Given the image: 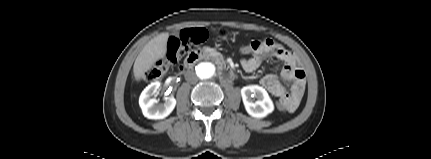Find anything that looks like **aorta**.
Returning <instances> with one entry per match:
<instances>
[{
    "label": "aorta",
    "mask_w": 431,
    "mask_h": 159,
    "mask_svg": "<svg viewBox=\"0 0 431 159\" xmlns=\"http://www.w3.org/2000/svg\"><path fill=\"white\" fill-rule=\"evenodd\" d=\"M195 71L200 79L209 80L215 74V66L210 62H200L196 65Z\"/></svg>",
    "instance_id": "762f6f07"
}]
</instances>
